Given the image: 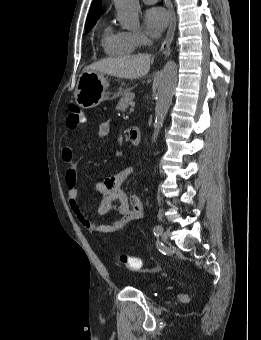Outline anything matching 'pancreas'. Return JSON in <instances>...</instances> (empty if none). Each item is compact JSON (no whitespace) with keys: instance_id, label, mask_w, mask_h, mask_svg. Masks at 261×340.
Returning a JSON list of instances; mask_svg holds the SVG:
<instances>
[{"instance_id":"obj_1","label":"pancreas","mask_w":261,"mask_h":340,"mask_svg":"<svg viewBox=\"0 0 261 340\" xmlns=\"http://www.w3.org/2000/svg\"><path fill=\"white\" fill-rule=\"evenodd\" d=\"M120 96H121V99L119 103L117 104L116 109L125 111L130 105V103L133 101V99L135 98V95L131 93L129 89H127V90L122 91L120 93Z\"/></svg>"}]
</instances>
